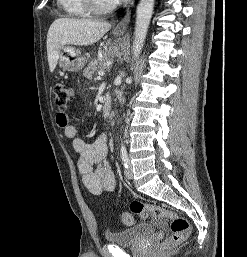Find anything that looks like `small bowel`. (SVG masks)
I'll list each match as a JSON object with an SVG mask.
<instances>
[{
  "label": "small bowel",
  "mask_w": 247,
  "mask_h": 257,
  "mask_svg": "<svg viewBox=\"0 0 247 257\" xmlns=\"http://www.w3.org/2000/svg\"><path fill=\"white\" fill-rule=\"evenodd\" d=\"M56 120L63 128L65 136L73 140L72 146L77 155L76 165L84 186L96 196L113 193L116 189V177L106 159L108 136L102 134L94 142L87 143L77 137L76 129L69 123L67 115L58 114Z\"/></svg>",
  "instance_id": "c3829d8e"
}]
</instances>
